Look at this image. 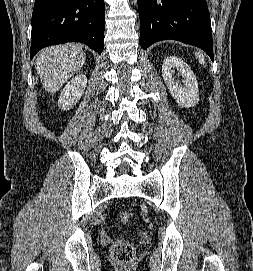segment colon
Returning a JSON list of instances; mask_svg holds the SVG:
<instances>
[{
  "label": "colon",
  "mask_w": 253,
  "mask_h": 271,
  "mask_svg": "<svg viewBox=\"0 0 253 271\" xmlns=\"http://www.w3.org/2000/svg\"><path fill=\"white\" fill-rule=\"evenodd\" d=\"M119 220L126 224L130 220V213L128 211H121L119 213ZM112 254L115 260L121 263H129L134 258V248L131 243L125 239H118L112 249Z\"/></svg>",
  "instance_id": "colon-1"
}]
</instances>
